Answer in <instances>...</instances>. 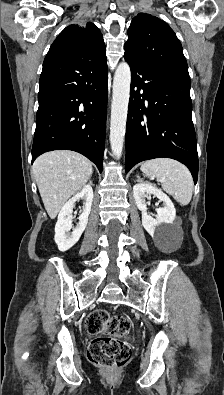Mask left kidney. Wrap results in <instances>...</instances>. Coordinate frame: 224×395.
Wrapping results in <instances>:
<instances>
[{
    "label": "left kidney",
    "mask_w": 224,
    "mask_h": 395,
    "mask_svg": "<svg viewBox=\"0 0 224 395\" xmlns=\"http://www.w3.org/2000/svg\"><path fill=\"white\" fill-rule=\"evenodd\" d=\"M133 195L138 209L142 212V225L154 238L162 239L168 235V227L173 224L176 210L171 199L160 189L150 183L140 182L133 186ZM148 195H153L163 202L164 207L157 210V217L153 218L147 213Z\"/></svg>",
    "instance_id": "5707ae66"
}]
</instances>
